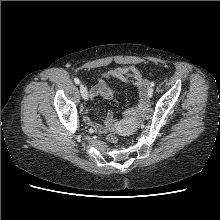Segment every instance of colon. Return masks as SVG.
<instances>
[{
	"label": "colon",
	"instance_id": "obj_1",
	"mask_svg": "<svg viewBox=\"0 0 220 220\" xmlns=\"http://www.w3.org/2000/svg\"><path fill=\"white\" fill-rule=\"evenodd\" d=\"M106 139L111 144H116L118 142V138L114 133H109Z\"/></svg>",
	"mask_w": 220,
	"mask_h": 220
}]
</instances>
